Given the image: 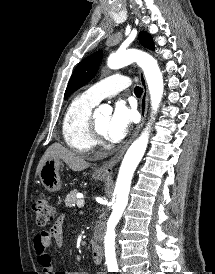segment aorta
I'll return each instance as SVG.
<instances>
[{
	"instance_id": "obj_1",
	"label": "aorta",
	"mask_w": 215,
	"mask_h": 274,
	"mask_svg": "<svg viewBox=\"0 0 215 274\" xmlns=\"http://www.w3.org/2000/svg\"><path fill=\"white\" fill-rule=\"evenodd\" d=\"M133 62H136L144 71L150 92L152 110L153 113H155L161 102L164 90L163 77L157 61L145 52L137 49H127L111 54L108 58L107 65L111 69H118ZM106 111L110 112L111 107L102 105L95 113L99 114L100 112ZM148 139L149 132L148 128H146L127 150L119 169L114 191L116 194V202L113 205V211L108 221V231L105 236V257L109 272L118 271L115 254L114 227L119 222L127 206L132 177L145 153Z\"/></svg>"
}]
</instances>
